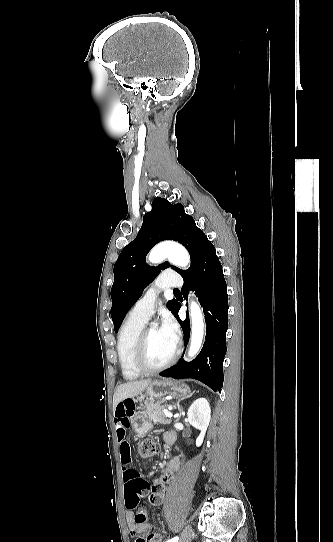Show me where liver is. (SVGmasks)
<instances>
[{
	"label": "liver",
	"instance_id": "liver-1",
	"mask_svg": "<svg viewBox=\"0 0 333 542\" xmlns=\"http://www.w3.org/2000/svg\"><path fill=\"white\" fill-rule=\"evenodd\" d=\"M152 380H130L126 384H120L117 390L114 392L113 396V412H115L119 402H123L126 398H134V396H139L142 394Z\"/></svg>",
	"mask_w": 333,
	"mask_h": 542
}]
</instances>
